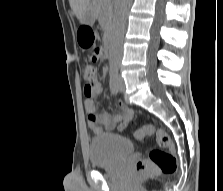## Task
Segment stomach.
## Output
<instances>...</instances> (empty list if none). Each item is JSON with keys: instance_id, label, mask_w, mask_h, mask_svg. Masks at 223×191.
Returning <instances> with one entry per match:
<instances>
[{"instance_id": "0dacf381", "label": "stomach", "mask_w": 223, "mask_h": 191, "mask_svg": "<svg viewBox=\"0 0 223 191\" xmlns=\"http://www.w3.org/2000/svg\"><path fill=\"white\" fill-rule=\"evenodd\" d=\"M80 21H81V23H83L85 25H91V24L94 23L95 14L90 7H88L86 9V11L82 14V17H81Z\"/></svg>"}]
</instances>
